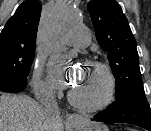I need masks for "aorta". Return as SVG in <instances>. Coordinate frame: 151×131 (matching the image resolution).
Wrapping results in <instances>:
<instances>
[{
	"instance_id": "1",
	"label": "aorta",
	"mask_w": 151,
	"mask_h": 131,
	"mask_svg": "<svg viewBox=\"0 0 151 131\" xmlns=\"http://www.w3.org/2000/svg\"><path fill=\"white\" fill-rule=\"evenodd\" d=\"M79 20L78 13L69 6H58L52 12L49 28L54 34H60Z\"/></svg>"
}]
</instances>
